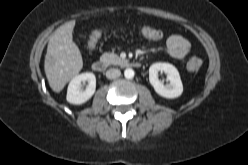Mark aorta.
<instances>
[{
	"label": "aorta",
	"mask_w": 248,
	"mask_h": 165,
	"mask_svg": "<svg viewBox=\"0 0 248 165\" xmlns=\"http://www.w3.org/2000/svg\"><path fill=\"white\" fill-rule=\"evenodd\" d=\"M134 70L133 69H131V68H127V69H125V71H124V76H125V78H127V79H132L133 77H134Z\"/></svg>",
	"instance_id": "obj_1"
}]
</instances>
